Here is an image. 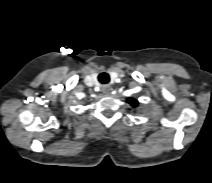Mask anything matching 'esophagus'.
<instances>
[{
  "label": "esophagus",
  "instance_id": "34e87169",
  "mask_svg": "<svg viewBox=\"0 0 212 183\" xmlns=\"http://www.w3.org/2000/svg\"><path fill=\"white\" fill-rule=\"evenodd\" d=\"M102 91L104 92V94L108 95L111 91V87L109 85H105L102 87Z\"/></svg>",
  "mask_w": 212,
  "mask_h": 183
}]
</instances>
